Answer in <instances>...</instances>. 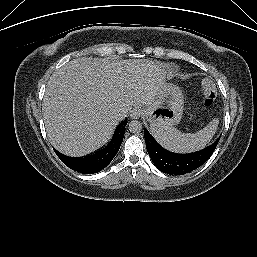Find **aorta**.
Returning a JSON list of instances; mask_svg holds the SVG:
<instances>
[{"label": "aorta", "instance_id": "1", "mask_svg": "<svg viewBox=\"0 0 257 257\" xmlns=\"http://www.w3.org/2000/svg\"><path fill=\"white\" fill-rule=\"evenodd\" d=\"M128 128L131 133H140L142 131V124L137 120H132L128 124Z\"/></svg>", "mask_w": 257, "mask_h": 257}]
</instances>
